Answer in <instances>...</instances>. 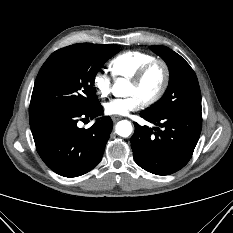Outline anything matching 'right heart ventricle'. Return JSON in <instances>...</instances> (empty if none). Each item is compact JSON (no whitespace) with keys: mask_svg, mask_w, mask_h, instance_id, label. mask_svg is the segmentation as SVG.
Here are the masks:
<instances>
[{"mask_svg":"<svg viewBox=\"0 0 233 233\" xmlns=\"http://www.w3.org/2000/svg\"><path fill=\"white\" fill-rule=\"evenodd\" d=\"M155 57L147 52L130 50L115 56L109 63L114 77L130 79L143 65Z\"/></svg>","mask_w":233,"mask_h":233,"instance_id":"e07e8e85","label":"right heart ventricle"}]
</instances>
